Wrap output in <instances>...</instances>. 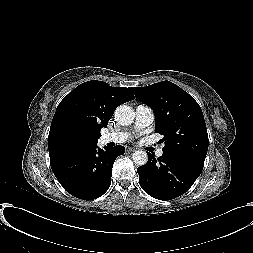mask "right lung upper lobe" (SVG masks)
<instances>
[{
  "label": "right lung upper lobe",
  "mask_w": 253,
  "mask_h": 253,
  "mask_svg": "<svg viewBox=\"0 0 253 253\" xmlns=\"http://www.w3.org/2000/svg\"><path fill=\"white\" fill-rule=\"evenodd\" d=\"M135 97L130 88L91 80L77 86L59 103L48 136L50 161L97 144L115 109Z\"/></svg>",
  "instance_id": "obj_1"
}]
</instances>
